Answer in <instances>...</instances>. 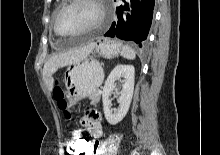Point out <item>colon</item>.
<instances>
[{
  "instance_id": "obj_1",
  "label": "colon",
  "mask_w": 220,
  "mask_h": 155,
  "mask_svg": "<svg viewBox=\"0 0 220 155\" xmlns=\"http://www.w3.org/2000/svg\"><path fill=\"white\" fill-rule=\"evenodd\" d=\"M53 95L60 109L64 110L67 119L71 118V112L68 110L66 93L60 86H56ZM92 142H88L86 135H77L76 139H69L67 146H64L66 155H89Z\"/></svg>"
}]
</instances>
